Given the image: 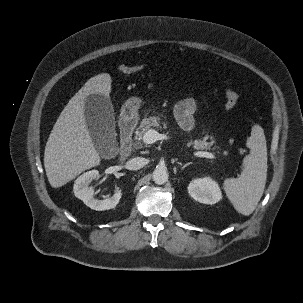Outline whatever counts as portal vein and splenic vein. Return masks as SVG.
<instances>
[{"mask_svg":"<svg viewBox=\"0 0 303 303\" xmlns=\"http://www.w3.org/2000/svg\"><path fill=\"white\" fill-rule=\"evenodd\" d=\"M168 136L165 134H159L156 130L150 129L144 133L142 140L145 144H152L158 140H167ZM196 157H205L208 159H215V155L211 152L197 151L193 153Z\"/></svg>","mask_w":303,"mask_h":303,"instance_id":"18ae733b","label":"portal vein and splenic vein"}]
</instances>
